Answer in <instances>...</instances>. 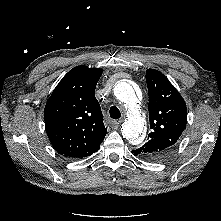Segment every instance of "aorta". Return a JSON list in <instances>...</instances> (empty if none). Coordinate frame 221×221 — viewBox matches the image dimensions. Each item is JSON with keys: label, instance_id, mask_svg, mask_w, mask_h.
<instances>
[{"label": "aorta", "instance_id": "1", "mask_svg": "<svg viewBox=\"0 0 221 221\" xmlns=\"http://www.w3.org/2000/svg\"><path fill=\"white\" fill-rule=\"evenodd\" d=\"M114 93L127 110V118L122 124L123 137L133 145L140 144L144 139L145 120L139 111L134 89L127 82H119Z\"/></svg>", "mask_w": 221, "mask_h": 221}]
</instances>
